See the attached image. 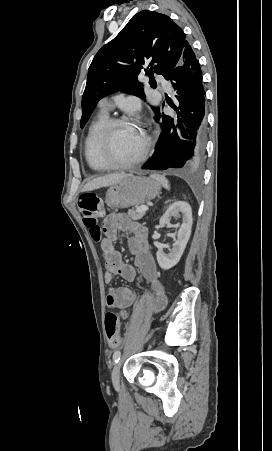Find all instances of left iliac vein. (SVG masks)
Masks as SVG:
<instances>
[{
	"mask_svg": "<svg viewBox=\"0 0 272 451\" xmlns=\"http://www.w3.org/2000/svg\"><path fill=\"white\" fill-rule=\"evenodd\" d=\"M120 368H121V364L116 363L114 365L112 373H111V380L115 387H118L119 383H120Z\"/></svg>",
	"mask_w": 272,
	"mask_h": 451,
	"instance_id": "obj_1",
	"label": "left iliac vein"
}]
</instances>
